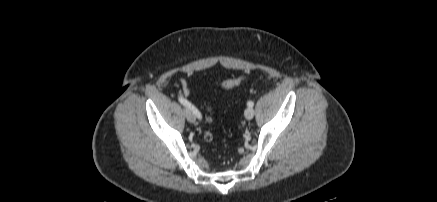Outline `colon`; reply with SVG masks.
<instances>
[{
    "label": "colon",
    "mask_w": 437,
    "mask_h": 202,
    "mask_svg": "<svg viewBox=\"0 0 437 202\" xmlns=\"http://www.w3.org/2000/svg\"><path fill=\"white\" fill-rule=\"evenodd\" d=\"M242 80H243V76H235V77L229 78L222 83V88L224 90H230V89L236 87L237 85H239ZM206 121L211 122V118L207 117ZM204 138L206 141H211L213 139V135L211 132L207 131L204 134Z\"/></svg>",
    "instance_id": "colon-1"
}]
</instances>
